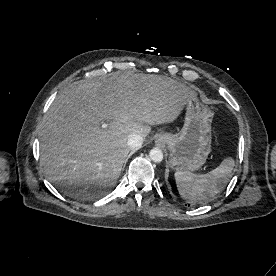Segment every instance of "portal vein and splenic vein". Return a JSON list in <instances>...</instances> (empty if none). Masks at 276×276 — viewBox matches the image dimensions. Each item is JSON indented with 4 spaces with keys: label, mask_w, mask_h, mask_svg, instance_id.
I'll list each match as a JSON object with an SVG mask.
<instances>
[{
    "label": "portal vein and splenic vein",
    "mask_w": 276,
    "mask_h": 276,
    "mask_svg": "<svg viewBox=\"0 0 276 276\" xmlns=\"http://www.w3.org/2000/svg\"><path fill=\"white\" fill-rule=\"evenodd\" d=\"M102 127H103V128H106V127H107V124L104 123Z\"/></svg>",
    "instance_id": "portal-vein-and-splenic-vein-1"
}]
</instances>
